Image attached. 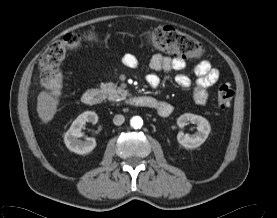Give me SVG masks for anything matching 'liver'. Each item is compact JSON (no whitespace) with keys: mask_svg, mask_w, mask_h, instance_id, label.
<instances>
[{"mask_svg":"<svg viewBox=\"0 0 277 218\" xmlns=\"http://www.w3.org/2000/svg\"><path fill=\"white\" fill-rule=\"evenodd\" d=\"M59 100L53 97L47 91H41L37 97V112L39 118L44 122L48 123L57 112Z\"/></svg>","mask_w":277,"mask_h":218,"instance_id":"1","label":"liver"}]
</instances>
